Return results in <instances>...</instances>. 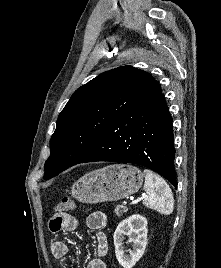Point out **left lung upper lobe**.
Wrapping results in <instances>:
<instances>
[{"label": "left lung upper lobe", "mask_w": 221, "mask_h": 268, "mask_svg": "<svg viewBox=\"0 0 221 268\" xmlns=\"http://www.w3.org/2000/svg\"><path fill=\"white\" fill-rule=\"evenodd\" d=\"M160 92L151 74L131 66L106 71L78 88L58 116L44 178L77 164L117 118Z\"/></svg>", "instance_id": "left-lung-upper-lobe-1"}]
</instances>
